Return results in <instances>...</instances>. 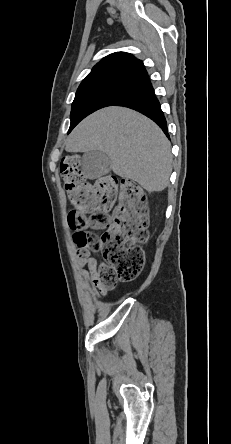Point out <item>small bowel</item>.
<instances>
[{
    "label": "small bowel",
    "mask_w": 231,
    "mask_h": 444,
    "mask_svg": "<svg viewBox=\"0 0 231 444\" xmlns=\"http://www.w3.org/2000/svg\"><path fill=\"white\" fill-rule=\"evenodd\" d=\"M80 234L74 233V241L78 247L81 248L79 252L78 264L83 267L82 275L89 283L91 293L94 298L99 299L107 294L99 283L100 271L105 267V263H98L97 260L91 256L80 244Z\"/></svg>",
    "instance_id": "obj_1"
}]
</instances>
